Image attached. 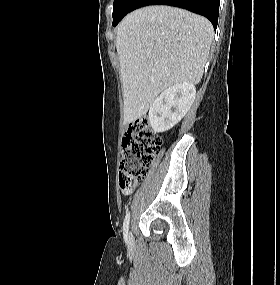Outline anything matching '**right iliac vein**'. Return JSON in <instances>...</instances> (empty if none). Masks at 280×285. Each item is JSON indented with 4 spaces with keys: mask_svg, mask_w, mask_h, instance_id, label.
Wrapping results in <instances>:
<instances>
[{
    "mask_svg": "<svg viewBox=\"0 0 280 285\" xmlns=\"http://www.w3.org/2000/svg\"><path fill=\"white\" fill-rule=\"evenodd\" d=\"M127 243L129 246H131L133 243V237H132V234L130 232L127 234Z\"/></svg>",
    "mask_w": 280,
    "mask_h": 285,
    "instance_id": "63e3f726",
    "label": "right iliac vein"
}]
</instances>
